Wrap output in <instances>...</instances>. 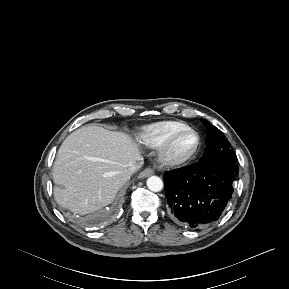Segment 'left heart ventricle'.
<instances>
[{"label": "left heart ventricle", "instance_id": "left-heart-ventricle-1", "mask_svg": "<svg viewBox=\"0 0 289 289\" xmlns=\"http://www.w3.org/2000/svg\"><path fill=\"white\" fill-rule=\"evenodd\" d=\"M196 145V137L193 134H186L179 138L174 145L173 153L176 155H185L193 150Z\"/></svg>", "mask_w": 289, "mask_h": 289}]
</instances>
